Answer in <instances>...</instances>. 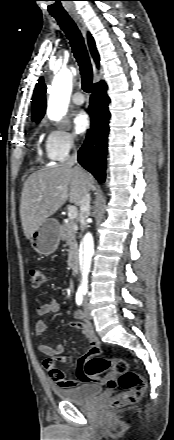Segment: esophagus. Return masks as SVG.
I'll return each mask as SVG.
<instances>
[{
  "label": "esophagus",
  "mask_w": 174,
  "mask_h": 440,
  "mask_svg": "<svg viewBox=\"0 0 174 440\" xmlns=\"http://www.w3.org/2000/svg\"><path fill=\"white\" fill-rule=\"evenodd\" d=\"M71 17L75 21V23L77 24V26L80 29V31L82 32L83 36L86 37V26L83 23L82 19L77 15H72ZM94 70L96 71L95 66H94Z\"/></svg>",
  "instance_id": "esophagus-1"
}]
</instances>
